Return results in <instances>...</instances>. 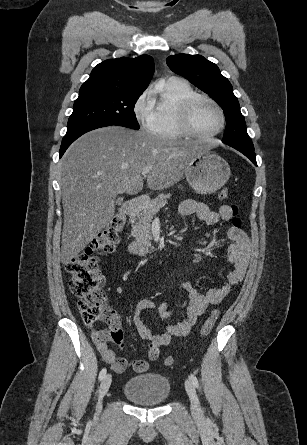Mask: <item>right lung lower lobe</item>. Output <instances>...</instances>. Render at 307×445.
Wrapping results in <instances>:
<instances>
[{"label":"right lung lower lobe","mask_w":307,"mask_h":445,"mask_svg":"<svg viewBox=\"0 0 307 445\" xmlns=\"http://www.w3.org/2000/svg\"><path fill=\"white\" fill-rule=\"evenodd\" d=\"M105 126H110V125H102V124H93V125H86V126H82L79 128H76L74 130L71 131H67L66 135L64 136L63 140H62V144L60 147V157H62V155L64 154V152L66 151V149L70 146V144L72 142H74L78 137H80L81 135H83L84 133L100 128V127H105Z\"/></svg>","instance_id":"1"}]
</instances>
